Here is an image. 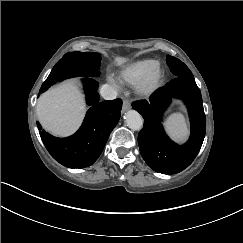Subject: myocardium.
<instances>
[{
    "label": "myocardium",
    "mask_w": 243,
    "mask_h": 243,
    "mask_svg": "<svg viewBox=\"0 0 243 243\" xmlns=\"http://www.w3.org/2000/svg\"><path fill=\"white\" fill-rule=\"evenodd\" d=\"M165 83V73L163 67L158 64L153 67L141 83L136 87L138 95L150 97L158 92Z\"/></svg>",
    "instance_id": "1"
}]
</instances>
